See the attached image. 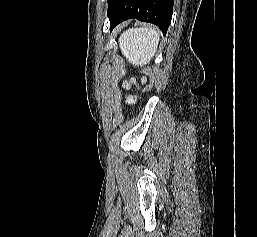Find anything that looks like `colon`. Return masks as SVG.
<instances>
[{
	"label": "colon",
	"instance_id": "5ec220e1",
	"mask_svg": "<svg viewBox=\"0 0 257 237\" xmlns=\"http://www.w3.org/2000/svg\"><path fill=\"white\" fill-rule=\"evenodd\" d=\"M129 86V84H126V87H128Z\"/></svg>",
	"mask_w": 257,
	"mask_h": 237
}]
</instances>
